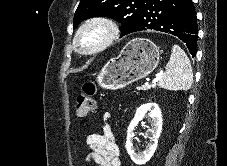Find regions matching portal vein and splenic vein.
Returning <instances> with one entry per match:
<instances>
[{"mask_svg": "<svg viewBox=\"0 0 227 166\" xmlns=\"http://www.w3.org/2000/svg\"><path fill=\"white\" fill-rule=\"evenodd\" d=\"M161 74H162V73H159V74L156 76V78L154 79L153 83L157 82V81L160 79ZM148 85H149L148 82H146V83L144 84V86H148Z\"/></svg>", "mask_w": 227, "mask_h": 166, "instance_id": "portal-vein-and-splenic-vein-1", "label": "portal vein and splenic vein"}]
</instances>
